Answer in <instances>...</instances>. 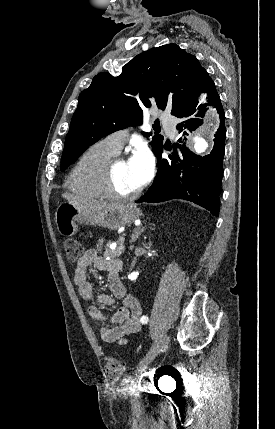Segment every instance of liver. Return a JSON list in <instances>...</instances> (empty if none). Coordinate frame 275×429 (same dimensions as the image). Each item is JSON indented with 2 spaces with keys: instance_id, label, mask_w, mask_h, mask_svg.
I'll list each match as a JSON object with an SVG mask.
<instances>
[{
  "instance_id": "6515ba94",
  "label": "liver",
  "mask_w": 275,
  "mask_h": 429,
  "mask_svg": "<svg viewBox=\"0 0 275 429\" xmlns=\"http://www.w3.org/2000/svg\"><path fill=\"white\" fill-rule=\"evenodd\" d=\"M62 197L64 199H66L68 201V203L73 204L78 209L85 210V211H92V212L102 211V210H105L107 208L118 205L115 203H107V202H101V201H96V200L81 199L78 196L71 194V193H68V192L63 193Z\"/></svg>"
}]
</instances>
